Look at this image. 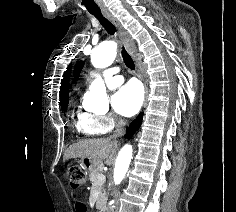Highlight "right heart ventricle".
<instances>
[{
	"label": "right heart ventricle",
	"mask_w": 236,
	"mask_h": 212,
	"mask_svg": "<svg viewBox=\"0 0 236 212\" xmlns=\"http://www.w3.org/2000/svg\"><path fill=\"white\" fill-rule=\"evenodd\" d=\"M76 130L85 136H94L102 133L100 125L95 120V115L88 112L77 111L74 115Z\"/></svg>",
	"instance_id": "e07e8e85"
}]
</instances>
